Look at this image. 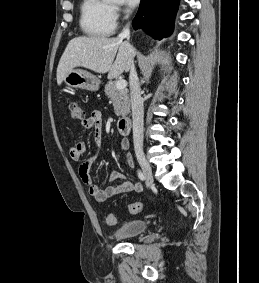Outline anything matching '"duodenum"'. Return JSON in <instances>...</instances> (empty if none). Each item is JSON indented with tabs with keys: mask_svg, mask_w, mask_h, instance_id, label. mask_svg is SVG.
I'll return each mask as SVG.
<instances>
[{
	"mask_svg": "<svg viewBox=\"0 0 259 283\" xmlns=\"http://www.w3.org/2000/svg\"><path fill=\"white\" fill-rule=\"evenodd\" d=\"M118 132L121 135H127L131 128V119L129 117H123L119 119L117 123Z\"/></svg>",
	"mask_w": 259,
	"mask_h": 283,
	"instance_id": "410a0bca",
	"label": "duodenum"
}]
</instances>
